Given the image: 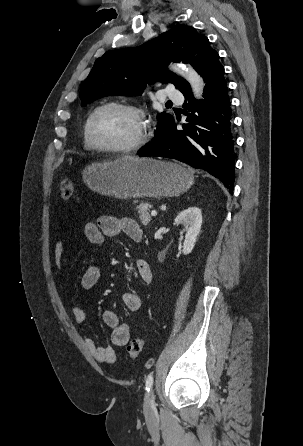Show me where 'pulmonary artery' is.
Here are the masks:
<instances>
[{
    "label": "pulmonary artery",
    "instance_id": "pulmonary-artery-1",
    "mask_svg": "<svg viewBox=\"0 0 303 446\" xmlns=\"http://www.w3.org/2000/svg\"><path fill=\"white\" fill-rule=\"evenodd\" d=\"M164 96L167 99L173 100L175 102H182L183 101V95L181 94V92H179L178 90H176L174 87L169 86L165 89V94Z\"/></svg>",
    "mask_w": 303,
    "mask_h": 446
}]
</instances>
